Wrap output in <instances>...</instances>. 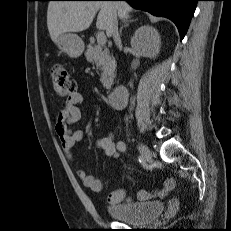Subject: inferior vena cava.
Returning a JSON list of instances; mask_svg holds the SVG:
<instances>
[{"label": "inferior vena cava", "mask_w": 231, "mask_h": 231, "mask_svg": "<svg viewBox=\"0 0 231 231\" xmlns=\"http://www.w3.org/2000/svg\"><path fill=\"white\" fill-rule=\"evenodd\" d=\"M111 33L113 35V39L115 41V43H119L120 41V36L118 33V22H117V16L114 15L111 21Z\"/></svg>", "instance_id": "inferior-vena-cava-1"}]
</instances>
